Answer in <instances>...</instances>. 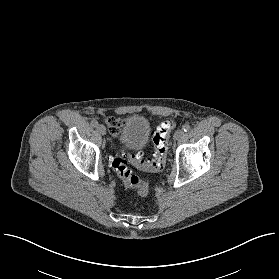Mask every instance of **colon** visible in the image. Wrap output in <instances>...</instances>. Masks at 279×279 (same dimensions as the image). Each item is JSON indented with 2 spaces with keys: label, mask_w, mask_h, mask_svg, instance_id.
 <instances>
[{
  "label": "colon",
  "mask_w": 279,
  "mask_h": 279,
  "mask_svg": "<svg viewBox=\"0 0 279 279\" xmlns=\"http://www.w3.org/2000/svg\"><path fill=\"white\" fill-rule=\"evenodd\" d=\"M174 127L171 120L163 121L154 133L155 159L146 161L140 152L120 150L111 162L113 171L118 175L123 184L135 189L140 195H146L149 190L148 180L143 176L133 175L128 168V162L145 172L159 171L165 162L168 149V136Z\"/></svg>",
  "instance_id": "obj_1"
}]
</instances>
